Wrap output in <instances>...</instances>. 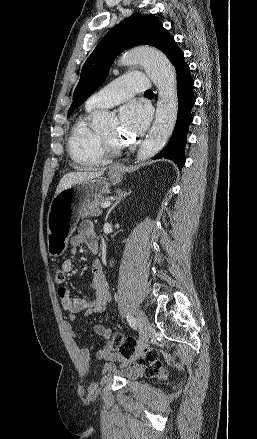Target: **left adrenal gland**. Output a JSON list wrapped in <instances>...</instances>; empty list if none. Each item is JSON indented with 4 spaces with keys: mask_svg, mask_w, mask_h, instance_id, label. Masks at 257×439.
I'll return each instance as SVG.
<instances>
[{
    "mask_svg": "<svg viewBox=\"0 0 257 439\" xmlns=\"http://www.w3.org/2000/svg\"><path fill=\"white\" fill-rule=\"evenodd\" d=\"M116 193H117V198H116L115 202L112 204L111 208L108 210L107 215H109V214L111 213V211L115 208V206H116V205H117V204H118L123 198H125L126 196H128V195L131 193V191H129V192H124V191H121V190H117Z\"/></svg>",
    "mask_w": 257,
    "mask_h": 439,
    "instance_id": "1",
    "label": "left adrenal gland"
}]
</instances>
